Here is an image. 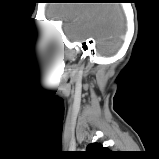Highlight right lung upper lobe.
Returning <instances> with one entry per match:
<instances>
[{
	"label": "right lung upper lobe",
	"instance_id": "cb5924a9",
	"mask_svg": "<svg viewBox=\"0 0 159 159\" xmlns=\"http://www.w3.org/2000/svg\"><path fill=\"white\" fill-rule=\"evenodd\" d=\"M109 151L107 148H104L99 143H92L87 146V153L90 155V159H97L104 152Z\"/></svg>",
	"mask_w": 159,
	"mask_h": 159
}]
</instances>
